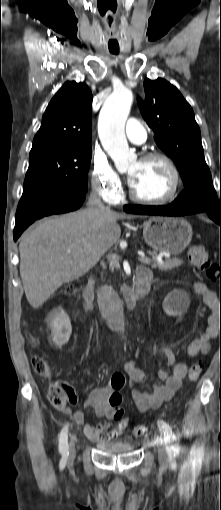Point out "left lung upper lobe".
<instances>
[{
  "mask_svg": "<svg viewBox=\"0 0 221 510\" xmlns=\"http://www.w3.org/2000/svg\"><path fill=\"white\" fill-rule=\"evenodd\" d=\"M145 101L140 111L157 145L177 165L184 190L172 203L181 209L221 210V195L213 187L205 162L201 134L194 112L178 89L164 79H145Z\"/></svg>",
  "mask_w": 221,
  "mask_h": 510,
  "instance_id": "5c2ea615",
  "label": "left lung upper lobe"
}]
</instances>
